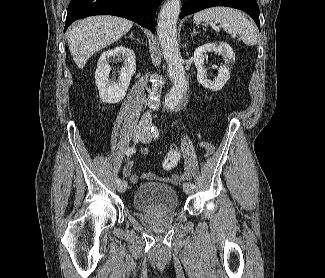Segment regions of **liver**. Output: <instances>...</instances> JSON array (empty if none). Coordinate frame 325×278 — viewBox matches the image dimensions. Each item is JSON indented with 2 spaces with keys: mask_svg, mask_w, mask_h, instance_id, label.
I'll list each match as a JSON object with an SVG mask.
<instances>
[{
  "mask_svg": "<svg viewBox=\"0 0 325 278\" xmlns=\"http://www.w3.org/2000/svg\"><path fill=\"white\" fill-rule=\"evenodd\" d=\"M133 22L116 16H92L72 26L68 35L70 53L79 69L97 51L125 35Z\"/></svg>",
  "mask_w": 325,
  "mask_h": 278,
  "instance_id": "liver-1",
  "label": "liver"
}]
</instances>
